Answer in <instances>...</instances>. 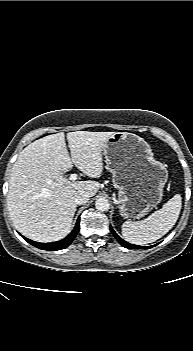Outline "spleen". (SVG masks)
I'll return each mask as SVG.
<instances>
[{
    "instance_id": "1",
    "label": "spleen",
    "mask_w": 193,
    "mask_h": 351,
    "mask_svg": "<svg viewBox=\"0 0 193 351\" xmlns=\"http://www.w3.org/2000/svg\"><path fill=\"white\" fill-rule=\"evenodd\" d=\"M182 197L174 195L160 210L142 221H125L122 235L126 241L146 245L164 236L175 225L181 210Z\"/></svg>"
}]
</instances>
